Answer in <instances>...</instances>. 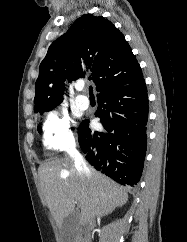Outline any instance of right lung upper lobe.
Returning <instances> with one entry per match:
<instances>
[{"label":"right lung upper lobe","mask_w":187,"mask_h":242,"mask_svg":"<svg viewBox=\"0 0 187 242\" xmlns=\"http://www.w3.org/2000/svg\"><path fill=\"white\" fill-rule=\"evenodd\" d=\"M85 76L94 81L98 94L142 76L124 35L102 16L83 15L50 45L35 83V112L59 105L65 81Z\"/></svg>","instance_id":"right-lung-upper-lobe-1"}]
</instances>
